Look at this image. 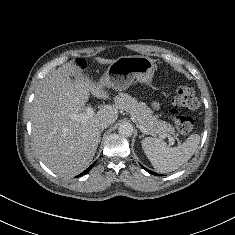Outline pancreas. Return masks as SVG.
<instances>
[{
  "label": "pancreas",
  "mask_w": 235,
  "mask_h": 235,
  "mask_svg": "<svg viewBox=\"0 0 235 235\" xmlns=\"http://www.w3.org/2000/svg\"><path fill=\"white\" fill-rule=\"evenodd\" d=\"M116 106L128 112L135 120L142 125L148 134L163 137L174 132V128L167 122L158 120L157 115H153L152 110L143 102L126 93H120L115 97Z\"/></svg>",
  "instance_id": "pancreas-1"
}]
</instances>
